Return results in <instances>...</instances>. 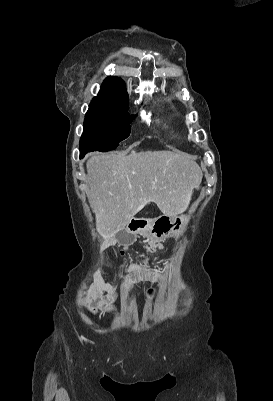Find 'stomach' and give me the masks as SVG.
<instances>
[{
    "instance_id": "stomach-1",
    "label": "stomach",
    "mask_w": 273,
    "mask_h": 401,
    "mask_svg": "<svg viewBox=\"0 0 273 401\" xmlns=\"http://www.w3.org/2000/svg\"><path fill=\"white\" fill-rule=\"evenodd\" d=\"M196 190H200L199 184L195 186ZM189 215H180V217H166L161 215L157 219H150L145 229H141L142 235L152 239V241H163V239H180L186 231L189 223Z\"/></svg>"
}]
</instances>
